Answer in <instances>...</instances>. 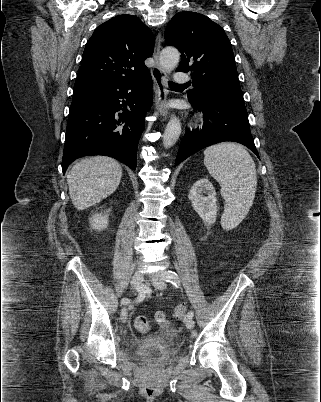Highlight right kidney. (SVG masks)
<instances>
[{
  "mask_svg": "<svg viewBox=\"0 0 321 402\" xmlns=\"http://www.w3.org/2000/svg\"><path fill=\"white\" fill-rule=\"evenodd\" d=\"M90 223L93 229L103 230L108 225L107 215L94 214L92 218H90Z\"/></svg>",
  "mask_w": 321,
  "mask_h": 402,
  "instance_id": "1",
  "label": "right kidney"
}]
</instances>
